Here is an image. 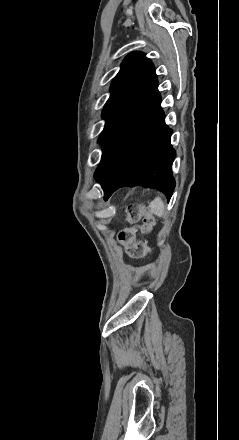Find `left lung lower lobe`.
I'll use <instances>...</instances> for the list:
<instances>
[{
    "label": "left lung lower lobe",
    "mask_w": 239,
    "mask_h": 440,
    "mask_svg": "<svg viewBox=\"0 0 239 440\" xmlns=\"http://www.w3.org/2000/svg\"><path fill=\"white\" fill-rule=\"evenodd\" d=\"M157 80L136 105L116 122L99 141L102 160L95 177L105 200L125 186H157L168 199L175 188L172 163L175 150L170 144L172 129L164 122Z\"/></svg>",
    "instance_id": "0a47b994"
}]
</instances>
